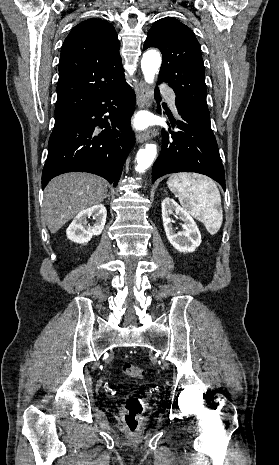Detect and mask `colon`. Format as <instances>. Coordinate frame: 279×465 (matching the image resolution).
<instances>
[{
  "instance_id": "obj_1",
  "label": "colon",
  "mask_w": 279,
  "mask_h": 465,
  "mask_svg": "<svg viewBox=\"0 0 279 465\" xmlns=\"http://www.w3.org/2000/svg\"><path fill=\"white\" fill-rule=\"evenodd\" d=\"M122 370L128 376L138 379H143L144 377V371L129 362L122 364ZM143 409V403L141 399L137 397L128 398L124 402L121 414L129 432L135 433L138 430Z\"/></svg>"
}]
</instances>
